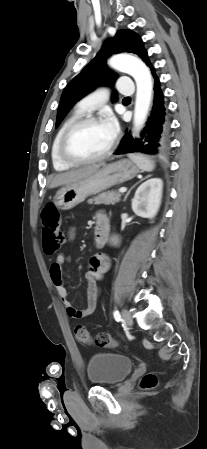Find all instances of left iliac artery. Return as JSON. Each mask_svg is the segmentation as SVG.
<instances>
[{"mask_svg":"<svg viewBox=\"0 0 207 449\" xmlns=\"http://www.w3.org/2000/svg\"><path fill=\"white\" fill-rule=\"evenodd\" d=\"M113 315L116 321H121V315L118 310H114Z\"/></svg>","mask_w":207,"mask_h":449,"instance_id":"left-iliac-artery-1","label":"left iliac artery"}]
</instances>
